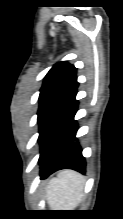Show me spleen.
Returning a JSON list of instances; mask_svg holds the SVG:
<instances>
[{
    "label": "spleen",
    "mask_w": 123,
    "mask_h": 219,
    "mask_svg": "<svg viewBox=\"0 0 123 219\" xmlns=\"http://www.w3.org/2000/svg\"><path fill=\"white\" fill-rule=\"evenodd\" d=\"M83 187L82 175L71 170L59 172L46 188L51 210H74L82 199Z\"/></svg>",
    "instance_id": "1"
}]
</instances>
